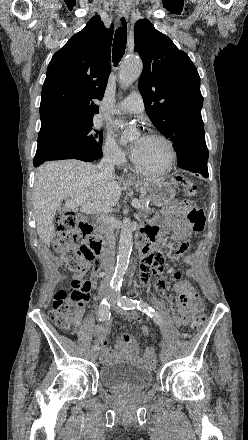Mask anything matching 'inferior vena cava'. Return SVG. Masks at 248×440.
Wrapping results in <instances>:
<instances>
[{
  "mask_svg": "<svg viewBox=\"0 0 248 440\" xmlns=\"http://www.w3.org/2000/svg\"><path fill=\"white\" fill-rule=\"evenodd\" d=\"M115 163L116 157L113 153L107 152L103 156L102 160L98 164V169L102 174L107 176L115 175ZM98 224L100 228L103 230L106 241L107 248L102 257V265L107 272L106 277L104 279V283L108 284L110 282L115 263V237H114V229L109 221V218L105 215H102L98 218Z\"/></svg>",
  "mask_w": 248,
  "mask_h": 440,
  "instance_id": "1",
  "label": "inferior vena cava"
}]
</instances>
